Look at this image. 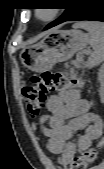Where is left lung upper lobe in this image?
Masks as SVG:
<instances>
[{"instance_id":"1","label":"left lung upper lobe","mask_w":104,"mask_h":169,"mask_svg":"<svg viewBox=\"0 0 104 169\" xmlns=\"http://www.w3.org/2000/svg\"><path fill=\"white\" fill-rule=\"evenodd\" d=\"M78 1L79 0H70L69 1L70 5L68 8H66V11L64 12V14L61 17H59L57 20H55L52 23H50L49 25H47L46 28H51L53 26H56V25L60 24L63 20H65L68 16H70L77 8Z\"/></svg>"}]
</instances>
